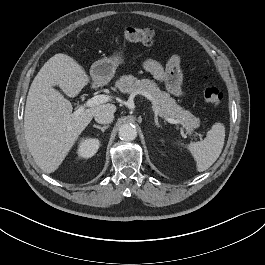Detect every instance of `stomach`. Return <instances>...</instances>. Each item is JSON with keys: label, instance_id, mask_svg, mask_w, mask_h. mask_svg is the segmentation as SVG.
<instances>
[{"label": "stomach", "instance_id": "obj_1", "mask_svg": "<svg viewBox=\"0 0 265 265\" xmlns=\"http://www.w3.org/2000/svg\"><path fill=\"white\" fill-rule=\"evenodd\" d=\"M123 62L124 57L121 51H116L109 58L105 57L94 62L90 68V75L94 84L104 85L109 82L113 78L117 67Z\"/></svg>", "mask_w": 265, "mask_h": 265}]
</instances>
